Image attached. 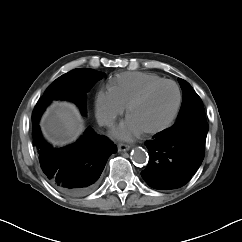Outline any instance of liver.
<instances>
[{
	"instance_id": "1",
	"label": "liver",
	"mask_w": 242,
	"mask_h": 242,
	"mask_svg": "<svg viewBox=\"0 0 242 242\" xmlns=\"http://www.w3.org/2000/svg\"><path fill=\"white\" fill-rule=\"evenodd\" d=\"M44 134L57 144L70 143L83 131V120L75 105L55 102L42 118Z\"/></svg>"
}]
</instances>
